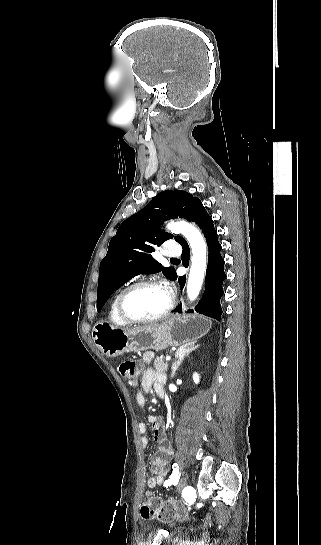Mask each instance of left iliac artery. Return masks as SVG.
Wrapping results in <instances>:
<instances>
[{
    "label": "left iliac artery",
    "instance_id": "44dca946",
    "mask_svg": "<svg viewBox=\"0 0 321 545\" xmlns=\"http://www.w3.org/2000/svg\"><path fill=\"white\" fill-rule=\"evenodd\" d=\"M179 478H180L179 466L176 463H174L173 464V472H172L170 478L164 482V487L167 488L173 482H177L179 480Z\"/></svg>",
    "mask_w": 321,
    "mask_h": 545
}]
</instances>
